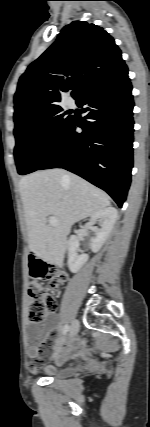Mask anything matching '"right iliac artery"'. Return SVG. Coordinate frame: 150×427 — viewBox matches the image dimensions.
Masks as SVG:
<instances>
[{
    "label": "right iliac artery",
    "instance_id": "obj_1",
    "mask_svg": "<svg viewBox=\"0 0 150 427\" xmlns=\"http://www.w3.org/2000/svg\"><path fill=\"white\" fill-rule=\"evenodd\" d=\"M68 331H69V326H68V325H65V326L63 327V334H66Z\"/></svg>",
    "mask_w": 150,
    "mask_h": 427
}]
</instances>
